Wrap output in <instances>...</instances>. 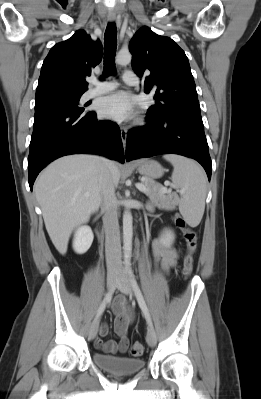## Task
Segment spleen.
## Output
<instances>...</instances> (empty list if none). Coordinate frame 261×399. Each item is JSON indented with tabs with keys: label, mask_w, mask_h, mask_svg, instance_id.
I'll return each instance as SVG.
<instances>
[{
	"label": "spleen",
	"mask_w": 261,
	"mask_h": 399,
	"mask_svg": "<svg viewBox=\"0 0 261 399\" xmlns=\"http://www.w3.org/2000/svg\"><path fill=\"white\" fill-rule=\"evenodd\" d=\"M173 167L171 180L180 189L179 211L190 226H197L204 214L207 179L204 170L193 160L180 155H165Z\"/></svg>",
	"instance_id": "spleen-1"
}]
</instances>
